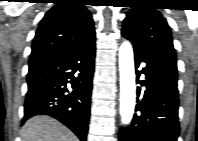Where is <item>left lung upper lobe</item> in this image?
I'll return each mask as SVG.
<instances>
[{"instance_id":"obj_1","label":"left lung upper lobe","mask_w":198,"mask_h":141,"mask_svg":"<svg viewBox=\"0 0 198 141\" xmlns=\"http://www.w3.org/2000/svg\"><path fill=\"white\" fill-rule=\"evenodd\" d=\"M131 8L124 19L122 35L139 48L148 51L168 50L176 56L170 27L154 4L138 1Z\"/></svg>"}]
</instances>
